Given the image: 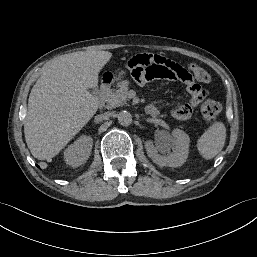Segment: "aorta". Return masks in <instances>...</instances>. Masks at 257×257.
<instances>
[{"mask_svg": "<svg viewBox=\"0 0 257 257\" xmlns=\"http://www.w3.org/2000/svg\"><path fill=\"white\" fill-rule=\"evenodd\" d=\"M117 119L122 126H128L132 123V115L126 110L120 111L117 115Z\"/></svg>", "mask_w": 257, "mask_h": 257, "instance_id": "aorta-1", "label": "aorta"}]
</instances>
